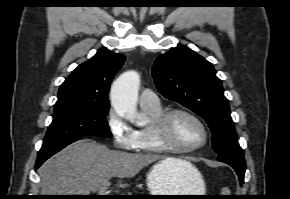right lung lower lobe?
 <instances>
[{
  "label": "right lung lower lobe",
  "instance_id": "right-lung-lower-lobe-1",
  "mask_svg": "<svg viewBox=\"0 0 290 199\" xmlns=\"http://www.w3.org/2000/svg\"><path fill=\"white\" fill-rule=\"evenodd\" d=\"M66 147V146H64ZM64 147H59L51 150H45V151H39L37 156V161L35 168L38 169L44 161H46L48 158H50L52 155L63 149Z\"/></svg>",
  "mask_w": 290,
  "mask_h": 199
}]
</instances>
